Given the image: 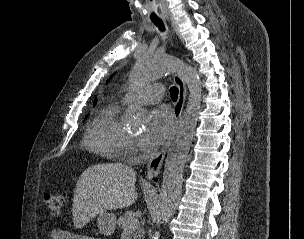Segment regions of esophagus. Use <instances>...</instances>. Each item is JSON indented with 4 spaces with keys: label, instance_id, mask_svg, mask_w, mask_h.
<instances>
[{
    "label": "esophagus",
    "instance_id": "34e87169",
    "mask_svg": "<svg viewBox=\"0 0 304 239\" xmlns=\"http://www.w3.org/2000/svg\"><path fill=\"white\" fill-rule=\"evenodd\" d=\"M174 82L176 83V85L178 87V98H177V101L173 108L174 126L170 132V135L168 136L167 141L165 142V144L163 145L161 150L156 155H154L147 164V173L145 175V179L147 181H151L154 177H156L159 174L163 161H164V158H165V155H166V152L170 145L172 136L178 125L180 116L183 111L187 89H186L185 82H184L183 78L181 77L180 73L174 74Z\"/></svg>",
    "mask_w": 304,
    "mask_h": 239
}]
</instances>
